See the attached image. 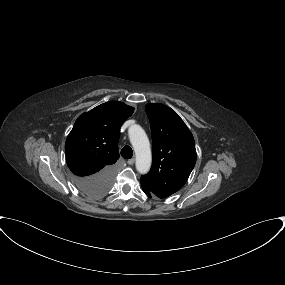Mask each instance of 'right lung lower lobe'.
Masks as SVG:
<instances>
[{"label":"right lung lower lobe","instance_id":"obj_1","mask_svg":"<svg viewBox=\"0 0 285 285\" xmlns=\"http://www.w3.org/2000/svg\"><path fill=\"white\" fill-rule=\"evenodd\" d=\"M116 172V165L108 166L100 172L86 177H74L75 185L90 197L104 195L111 188Z\"/></svg>","mask_w":285,"mask_h":285}]
</instances>
